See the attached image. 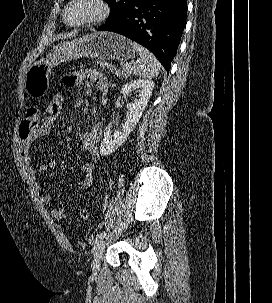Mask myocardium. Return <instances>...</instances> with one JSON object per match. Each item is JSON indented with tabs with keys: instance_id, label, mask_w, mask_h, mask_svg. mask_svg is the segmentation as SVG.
Here are the masks:
<instances>
[{
	"instance_id": "obj_1",
	"label": "myocardium",
	"mask_w": 272,
	"mask_h": 303,
	"mask_svg": "<svg viewBox=\"0 0 272 303\" xmlns=\"http://www.w3.org/2000/svg\"><path fill=\"white\" fill-rule=\"evenodd\" d=\"M82 1H89L93 4L96 5L97 7V12L95 15L76 21V22H72L68 19V13L71 9V7L73 5H75L78 2H82ZM111 12V8L110 5L108 3L107 0H70L65 9H64V13H63V20L64 22L72 27H83V26H87V25H95V24H99L103 21H105Z\"/></svg>"
}]
</instances>
